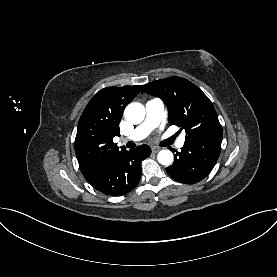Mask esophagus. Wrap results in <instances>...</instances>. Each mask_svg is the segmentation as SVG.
<instances>
[{"mask_svg": "<svg viewBox=\"0 0 277 277\" xmlns=\"http://www.w3.org/2000/svg\"><path fill=\"white\" fill-rule=\"evenodd\" d=\"M151 150H152L153 153H157V152L160 151V148L154 146V147L151 148Z\"/></svg>", "mask_w": 277, "mask_h": 277, "instance_id": "esophagus-1", "label": "esophagus"}]
</instances>
